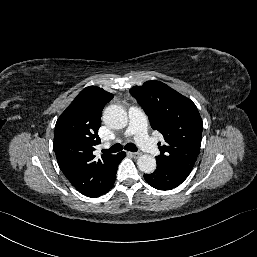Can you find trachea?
<instances>
[{"label":"trachea","instance_id":"1","mask_svg":"<svg viewBox=\"0 0 257 257\" xmlns=\"http://www.w3.org/2000/svg\"><path fill=\"white\" fill-rule=\"evenodd\" d=\"M124 149L128 150V151H132V152H136L137 151V147L135 144L133 143H127L125 146H124ZM123 150V146L119 143L117 144H114L112 147H110L109 149H104L103 150V153H116V152H119Z\"/></svg>","mask_w":257,"mask_h":257}]
</instances>
